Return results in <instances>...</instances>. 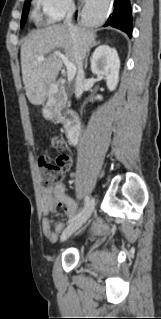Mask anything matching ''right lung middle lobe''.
<instances>
[{
	"label": "right lung middle lobe",
	"mask_w": 161,
	"mask_h": 319,
	"mask_svg": "<svg viewBox=\"0 0 161 319\" xmlns=\"http://www.w3.org/2000/svg\"><path fill=\"white\" fill-rule=\"evenodd\" d=\"M31 1L32 0H26L25 1V6H24V9H23V14H22V19H21V28L24 26V23H25V20H26L28 11H29V7H30V2Z\"/></svg>",
	"instance_id": "obj_1"
}]
</instances>
